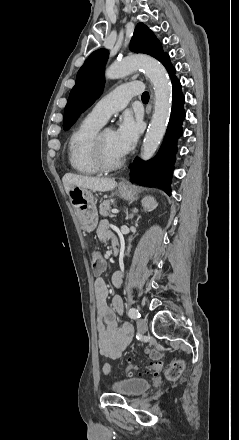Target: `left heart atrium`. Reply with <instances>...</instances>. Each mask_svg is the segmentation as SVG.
I'll list each match as a JSON object with an SVG mask.
<instances>
[{"instance_id": "1", "label": "left heart atrium", "mask_w": 239, "mask_h": 440, "mask_svg": "<svg viewBox=\"0 0 239 440\" xmlns=\"http://www.w3.org/2000/svg\"><path fill=\"white\" fill-rule=\"evenodd\" d=\"M141 130L140 119H135L131 113L125 112L119 119L114 131V140L121 155L127 154L135 145Z\"/></svg>"}]
</instances>
